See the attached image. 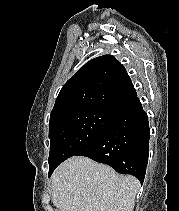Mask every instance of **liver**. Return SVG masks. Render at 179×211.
<instances>
[{"instance_id":"obj_1","label":"liver","mask_w":179,"mask_h":211,"mask_svg":"<svg viewBox=\"0 0 179 211\" xmlns=\"http://www.w3.org/2000/svg\"><path fill=\"white\" fill-rule=\"evenodd\" d=\"M51 200L58 211H133L139 181L110 166L74 156L54 171Z\"/></svg>"}]
</instances>
